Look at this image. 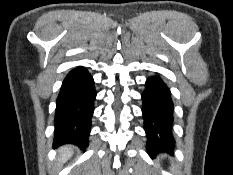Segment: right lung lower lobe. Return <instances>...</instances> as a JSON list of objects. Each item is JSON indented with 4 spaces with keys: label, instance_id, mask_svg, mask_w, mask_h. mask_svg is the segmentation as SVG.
Masks as SVG:
<instances>
[{
    "label": "right lung lower lobe",
    "instance_id": "obj_1",
    "mask_svg": "<svg viewBox=\"0 0 233 175\" xmlns=\"http://www.w3.org/2000/svg\"><path fill=\"white\" fill-rule=\"evenodd\" d=\"M94 80L84 67L71 70L57 98L53 145L74 144L85 149L94 112Z\"/></svg>",
    "mask_w": 233,
    "mask_h": 175
}]
</instances>
